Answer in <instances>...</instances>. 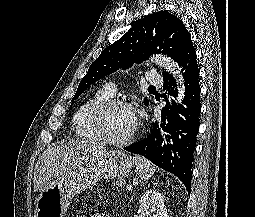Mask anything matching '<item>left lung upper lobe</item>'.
Instances as JSON below:
<instances>
[{"instance_id": "obj_1", "label": "left lung upper lobe", "mask_w": 255, "mask_h": 217, "mask_svg": "<svg viewBox=\"0 0 255 217\" xmlns=\"http://www.w3.org/2000/svg\"><path fill=\"white\" fill-rule=\"evenodd\" d=\"M190 45V34L178 17L168 11L150 14L101 52L81 80L72 101L99 79L119 68L126 69L134 62L140 64L152 54L162 53L177 62ZM144 103L148 105L149 101L145 98Z\"/></svg>"}]
</instances>
